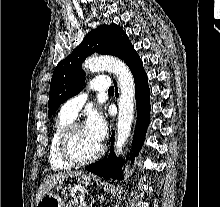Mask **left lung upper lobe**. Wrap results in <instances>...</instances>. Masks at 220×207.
<instances>
[{"label":"left lung upper lobe","mask_w":220,"mask_h":207,"mask_svg":"<svg viewBox=\"0 0 220 207\" xmlns=\"http://www.w3.org/2000/svg\"><path fill=\"white\" fill-rule=\"evenodd\" d=\"M133 49L126 33L116 24L101 25L90 31L81 44L56 66L50 84L49 117L70 97L83 88L85 73L81 65L87 56L97 52L122 60Z\"/></svg>","instance_id":"5c2ea615"}]
</instances>
